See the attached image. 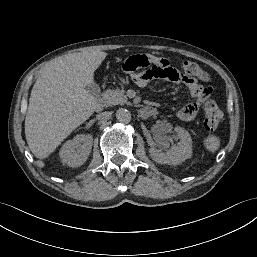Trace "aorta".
<instances>
[{
  "label": "aorta",
  "mask_w": 257,
  "mask_h": 257,
  "mask_svg": "<svg viewBox=\"0 0 257 257\" xmlns=\"http://www.w3.org/2000/svg\"><path fill=\"white\" fill-rule=\"evenodd\" d=\"M116 118L119 122L129 123L131 120V113L125 108H119L116 111Z\"/></svg>",
  "instance_id": "762f6f07"
}]
</instances>
